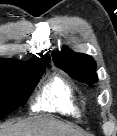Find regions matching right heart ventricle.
<instances>
[{
  "label": "right heart ventricle",
  "mask_w": 117,
  "mask_h": 136,
  "mask_svg": "<svg viewBox=\"0 0 117 136\" xmlns=\"http://www.w3.org/2000/svg\"><path fill=\"white\" fill-rule=\"evenodd\" d=\"M34 109L76 117L80 113V101L74 86L65 77L55 75L41 87Z\"/></svg>",
  "instance_id": "e07e8e85"
}]
</instances>
